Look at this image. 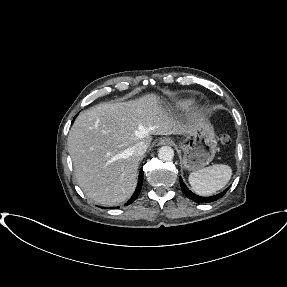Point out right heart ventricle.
<instances>
[{"instance_id":"right-heart-ventricle-1","label":"right heart ventricle","mask_w":287,"mask_h":287,"mask_svg":"<svg viewBox=\"0 0 287 287\" xmlns=\"http://www.w3.org/2000/svg\"><path fill=\"white\" fill-rule=\"evenodd\" d=\"M190 104H191V101H187V102L183 103L182 106H188Z\"/></svg>"}]
</instances>
